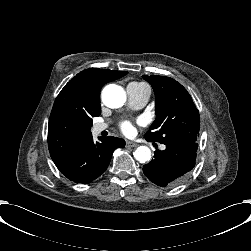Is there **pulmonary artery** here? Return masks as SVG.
Here are the masks:
<instances>
[{
  "mask_svg": "<svg viewBox=\"0 0 251 251\" xmlns=\"http://www.w3.org/2000/svg\"><path fill=\"white\" fill-rule=\"evenodd\" d=\"M145 88L147 93L143 89L137 87L136 85L129 84L127 86L130 107L141 108L147 103L152 90L149 85H146ZM107 127L108 124L106 123L95 124L93 126L92 132L93 134H100L102 131L106 130ZM164 148L165 146L162 145L161 149Z\"/></svg>",
  "mask_w": 251,
  "mask_h": 251,
  "instance_id": "1",
  "label": "pulmonary artery"
}]
</instances>
